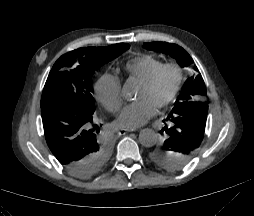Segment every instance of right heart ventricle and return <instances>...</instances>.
Segmentation results:
<instances>
[{
    "mask_svg": "<svg viewBox=\"0 0 254 216\" xmlns=\"http://www.w3.org/2000/svg\"><path fill=\"white\" fill-rule=\"evenodd\" d=\"M163 62L150 55H141L133 58L126 64L129 78L142 82L147 79Z\"/></svg>",
    "mask_w": 254,
    "mask_h": 216,
    "instance_id": "right-heart-ventricle-1",
    "label": "right heart ventricle"
}]
</instances>
